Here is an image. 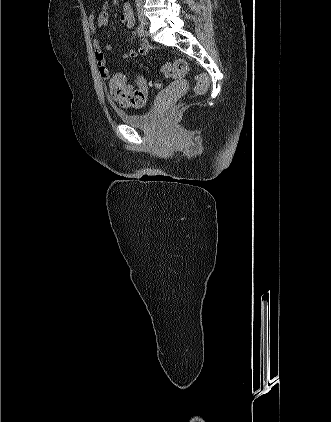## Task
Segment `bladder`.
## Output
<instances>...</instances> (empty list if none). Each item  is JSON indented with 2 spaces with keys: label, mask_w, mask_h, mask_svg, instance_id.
<instances>
[{
  "label": "bladder",
  "mask_w": 331,
  "mask_h": 422,
  "mask_svg": "<svg viewBox=\"0 0 331 422\" xmlns=\"http://www.w3.org/2000/svg\"><path fill=\"white\" fill-rule=\"evenodd\" d=\"M159 101L160 98H158L154 105L145 112L129 113L124 111H118V115L124 123L130 126L145 129L152 128L155 126L158 119Z\"/></svg>",
  "instance_id": "obj_1"
}]
</instances>
